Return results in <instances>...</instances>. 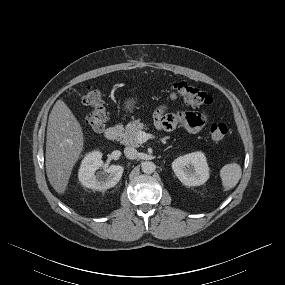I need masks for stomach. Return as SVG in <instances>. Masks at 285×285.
I'll return each mask as SVG.
<instances>
[{
  "instance_id": "0dacf381",
  "label": "stomach",
  "mask_w": 285,
  "mask_h": 285,
  "mask_svg": "<svg viewBox=\"0 0 285 285\" xmlns=\"http://www.w3.org/2000/svg\"><path fill=\"white\" fill-rule=\"evenodd\" d=\"M126 108L129 112H132L134 109V106L136 104V101L133 97H129L125 100Z\"/></svg>"
}]
</instances>
